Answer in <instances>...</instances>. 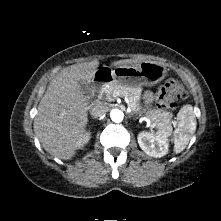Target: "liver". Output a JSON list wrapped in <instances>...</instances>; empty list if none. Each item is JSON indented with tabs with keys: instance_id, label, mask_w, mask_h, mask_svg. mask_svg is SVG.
<instances>
[{
	"instance_id": "1",
	"label": "liver",
	"mask_w": 221,
	"mask_h": 221,
	"mask_svg": "<svg viewBox=\"0 0 221 221\" xmlns=\"http://www.w3.org/2000/svg\"><path fill=\"white\" fill-rule=\"evenodd\" d=\"M132 60L112 63L128 66ZM99 62L94 60L61 70L49 83L34 119V132L42 147L53 157L69 160L75 155L77 142L88 122V100L79 81L91 82Z\"/></svg>"
}]
</instances>
